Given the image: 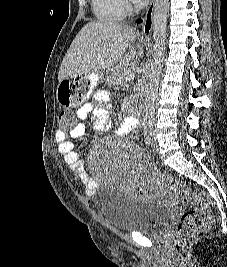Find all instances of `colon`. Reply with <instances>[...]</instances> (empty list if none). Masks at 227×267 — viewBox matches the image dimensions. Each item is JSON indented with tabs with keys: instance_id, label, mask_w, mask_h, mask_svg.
Wrapping results in <instances>:
<instances>
[{
	"instance_id": "colon-1",
	"label": "colon",
	"mask_w": 227,
	"mask_h": 267,
	"mask_svg": "<svg viewBox=\"0 0 227 267\" xmlns=\"http://www.w3.org/2000/svg\"><path fill=\"white\" fill-rule=\"evenodd\" d=\"M70 119H74L73 111L61 110L59 130H70V125L73 124ZM166 181L169 183L175 197L184 204L191 206L181 215L174 231L173 243L175 248L180 250L196 237L212 228L214 225L212 203L204 191L193 189L184 180L166 178Z\"/></svg>"
}]
</instances>
